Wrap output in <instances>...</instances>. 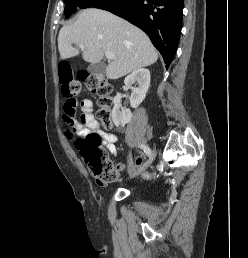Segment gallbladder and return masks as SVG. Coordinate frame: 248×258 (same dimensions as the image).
<instances>
[{
	"instance_id": "obj_1",
	"label": "gallbladder",
	"mask_w": 248,
	"mask_h": 258,
	"mask_svg": "<svg viewBox=\"0 0 248 258\" xmlns=\"http://www.w3.org/2000/svg\"><path fill=\"white\" fill-rule=\"evenodd\" d=\"M87 69L92 74L102 76L105 74L106 66L104 63H94L90 64Z\"/></svg>"
}]
</instances>
